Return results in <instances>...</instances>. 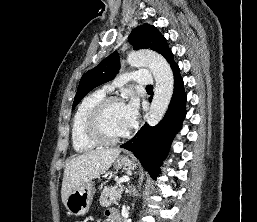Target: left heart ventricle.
<instances>
[{
    "label": "left heart ventricle",
    "mask_w": 257,
    "mask_h": 222,
    "mask_svg": "<svg viewBox=\"0 0 257 222\" xmlns=\"http://www.w3.org/2000/svg\"><path fill=\"white\" fill-rule=\"evenodd\" d=\"M102 130L108 137H119L124 135L123 105L111 106L102 118Z\"/></svg>",
    "instance_id": "b2bd125f"
}]
</instances>
